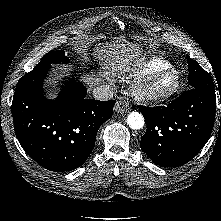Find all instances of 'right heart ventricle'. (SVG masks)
<instances>
[{"instance_id":"right-heart-ventricle-1","label":"right heart ventricle","mask_w":221,"mask_h":221,"mask_svg":"<svg viewBox=\"0 0 221 221\" xmlns=\"http://www.w3.org/2000/svg\"><path fill=\"white\" fill-rule=\"evenodd\" d=\"M167 68H171L170 62L162 58L153 57L137 63L132 70L137 75H146Z\"/></svg>"}]
</instances>
